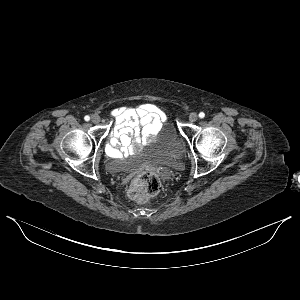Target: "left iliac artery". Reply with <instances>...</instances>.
Segmentation results:
<instances>
[{
    "instance_id": "obj_1",
    "label": "left iliac artery",
    "mask_w": 300,
    "mask_h": 300,
    "mask_svg": "<svg viewBox=\"0 0 300 300\" xmlns=\"http://www.w3.org/2000/svg\"><path fill=\"white\" fill-rule=\"evenodd\" d=\"M205 117V113L204 112H200L199 113V118L203 119Z\"/></svg>"
}]
</instances>
